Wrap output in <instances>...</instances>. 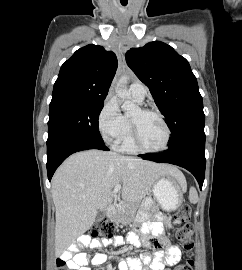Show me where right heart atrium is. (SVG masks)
I'll list each match as a JSON object with an SVG mask.
<instances>
[{
    "mask_svg": "<svg viewBox=\"0 0 242 270\" xmlns=\"http://www.w3.org/2000/svg\"><path fill=\"white\" fill-rule=\"evenodd\" d=\"M97 123L103 140L108 144L116 145L124 131L125 122L114 96L108 95L106 98Z\"/></svg>",
    "mask_w": 242,
    "mask_h": 270,
    "instance_id": "right-heart-atrium-1",
    "label": "right heart atrium"
}]
</instances>
